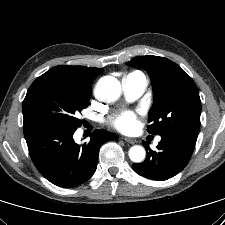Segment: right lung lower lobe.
Returning <instances> with one entry per match:
<instances>
[{
  "mask_svg": "<svg viewBox=\"0 0 225 225\" xmlns=\"http://www.w3.org/2000/svg\"><path fill=\"white\" fill-rule=\"evenodd\" d=\"M75 130L49 123L23 126L34 165L47 180L63 188L87 181L96 170L100 146L118 139L115 133L96 130L90 141L80 146L73 139Z\"/></svg>",
  "mask_w": 225,
  "mask_h": 225,
  "instance_id": "98d812e1",
  "label": "right lung lower lobe"
}]
</instances>
